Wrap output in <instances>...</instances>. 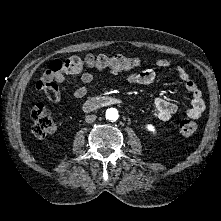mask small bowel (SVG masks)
<instances>
[{"label":"small bowel","instance_id":"small-bowel-1","mask_svg":"<svg viewBox=\"0 0 221 221\" xmlns=\"http://www.w3.org/2000/svg\"><path fill=\"white\" fill-rule=\"evenodd\" d=\"M156 67L166 69L171 66V62L167 58H159L155 62ZM177 77L184 83L185 89L191 95L190 105L186 109V115L193 119H199L204 110L205 103L202 98V92L197 84L191 80L188 71L182 66L174 67ZM112 75L117 73L116 70L110 71ZM76 76L80 78L84 85L74 89L72 95L75 99L84 98L87 93L94 88L96 77L94 74L84 71ZM156 71L153 68H148L142 71H133L127 74V81L132 84L148 85L155 81ZM49 101L58 103L61 101V95L58 93L56 97L47 96ZM178 112V106L167 99L156 98L153 104L152 116L160 121H167Z\"/></svg>","mask_w":221,"mask_h":221}]
</instances>
